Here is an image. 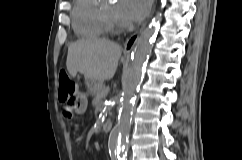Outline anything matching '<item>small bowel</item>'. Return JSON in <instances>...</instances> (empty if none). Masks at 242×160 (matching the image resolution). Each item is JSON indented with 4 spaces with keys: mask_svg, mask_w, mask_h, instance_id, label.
Listing matches in <instances>:
<instances>
[{
    "mask_svg": "<svg viewBox=\"0 0 242 160\" xmlns=\"http://www.w3.org/2000/svg\"><path fill=\"white\" fill-rule=\"evenodd\" d=\"M85 110H86V102H85V99H84L83 103L77 108V112L82 113Z\"/></svg>",
    "mask_w": 242,
    "mask_h": 160,
    "instance_id": "1",
    "label": "small bowel"
}]
</instances>
